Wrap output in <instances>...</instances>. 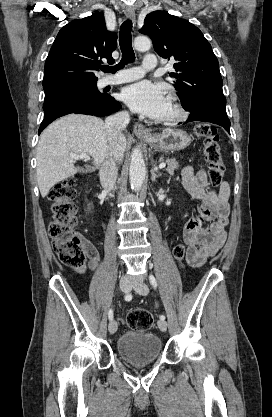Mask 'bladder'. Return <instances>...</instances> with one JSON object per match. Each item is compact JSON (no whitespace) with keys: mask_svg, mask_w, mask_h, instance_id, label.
Segmentation results:
<instances>
[{"mask_svg":"<svg viewBox=\"0 0 272 417\" xmlns=\"http://www.w3.org/2000/svg\"><path fill=\"white\" fill-rule=\"evenodd\" d=\"M162 351V342L155 334L126 331L117 341V352L126 362L135 365L157 360Z\"/></svg>","mask_w":272,"mask_h":417,"instance_id":"1","label":"bladder"}]
</instances>
